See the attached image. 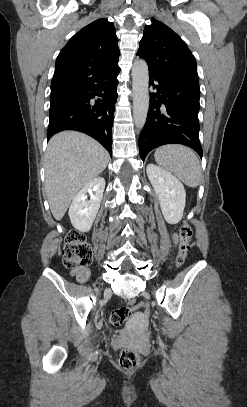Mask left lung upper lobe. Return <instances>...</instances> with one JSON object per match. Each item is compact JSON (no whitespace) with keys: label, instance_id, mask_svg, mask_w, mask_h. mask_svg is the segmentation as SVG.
<instances>
[{"label":"left lung upper lobe","instance_id":"5c2ea615","mask_svg":"<svg viewBox=\"0 0 247 407\" xmlns=\"http://www.w3.org/2000/svg\"><path fill=\"white\" fill-rule=\"evenodd\" d=\"M137 55L149 71L199 83L197 65L186 43L164 23L152 20L146 25Z\"/></svg>","mask_w":247,"mask_h":407}]
</instances>
